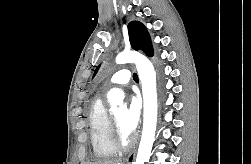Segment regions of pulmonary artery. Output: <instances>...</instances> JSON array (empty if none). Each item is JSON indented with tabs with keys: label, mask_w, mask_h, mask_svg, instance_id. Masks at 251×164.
<instances>
[{
	"label": "pulmonary artery",
	"mask_w": 251,
	"mask_h": 164,
	"mask_svg": "<svg viewBox=\"0 0 251 164\" xmlns=\"http://www.w3.org/2000/svg\"><path fill=\"white\" fill-rule=\"evenodd\" d=\"M132 78L131 72L128 69L117 71L109 80L108 86L125 85Z\"/></svg>",
	"instance_id": "1"
}]
</instances>
